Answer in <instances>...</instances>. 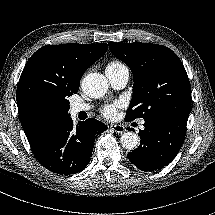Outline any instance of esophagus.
<instances>
[{
  "label": "esophagus",
  "instance_id": "esophagus-1",
  "mask_svg": "<svg viewBox=\"0 0 215 215\" xmlns=\"http://www.w3.org/2000/svg\"><path fill=\"white\" fill-rule=\"evenodd\" d=\"M109 128L118 134H123L126 131L125 127L120 124H111Z\"/></svg>",
  "mask_w": 215,
  "mask_h": 215
}]
</instances>
